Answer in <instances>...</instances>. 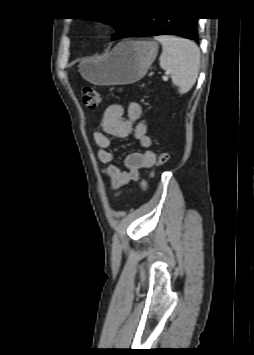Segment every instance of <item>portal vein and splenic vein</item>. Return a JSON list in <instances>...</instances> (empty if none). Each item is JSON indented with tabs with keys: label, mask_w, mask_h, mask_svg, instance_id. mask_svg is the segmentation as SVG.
Here are the masks:
<instances>
[{
	"label": "portal vein and splenic vein",
	"mask_w": 254,
	"mask_h": 355,
	"mask_svg": "<svg viewBox=\"0 0 254 355\" xmlns=\"http://www.w3.org/2000/svg\"><path fill=\"white\" fill-rule=\"evenodd\" d=\"M168 75H169V72H165V75L163 76V79L167 80L168 79Z\"/></svg>",
	"instance_id": "18ae733b"
}]
</instances>
